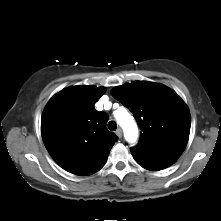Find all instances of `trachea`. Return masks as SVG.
<instances>
[{
	"label": "trachea",
	"mask_w": 221,
	"mask_h": 221,
	"mask_svg": "<svg viewBox=\"0 0 221 221\" xmlns=\"http://www.w3.org/2000/svg\"><path fill=\"white\" fill-rule=\"evenodd\" d=\"M108 128L111 131H115L117 129V124L115 121H109L108 123Z\"/></svg>",
	"instance_id": "obj_1"
}]
</instances>
